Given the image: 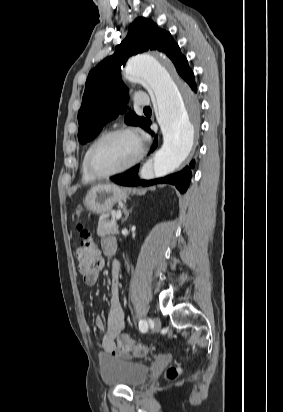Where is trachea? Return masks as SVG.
<instances>
[{"instance_id":"obj_1","label":"trachea","mask_w":283,"mask_h":412,"mask_svg":"<svg viewBox=\"0 0 283 412\" xmlns=\"http://www.w3.org/2000/svg\"><path fill=\"white\" fill-rule=\"evenodd\" d=\"M151 109H150V107H145L144 108V111H150Z\"/></svg>"}]
</instances>
